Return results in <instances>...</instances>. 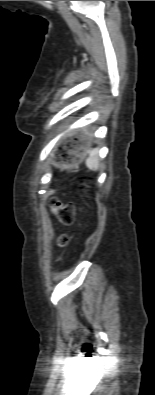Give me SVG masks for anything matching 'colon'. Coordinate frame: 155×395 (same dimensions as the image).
<instances>
[{
  "mask_svg": "<svg viewBox=\"0 0 155 395\" xmlns=\"http://www.w3.org/2000/svg\"><path fill=\"white\" fill-rule=\"evenodd\" d=\"M50 207L61 224L68 226L76 222L77 210L74 204H65L53 198L50 200ZM57 243L59 246H63L66 243V237L60 236L57 240Z\"/></svg>",
  "mask_w": 155,
  "mask_h": 395,
  "instance_id": "1",
  "label": "colon"
}]
</instances>
